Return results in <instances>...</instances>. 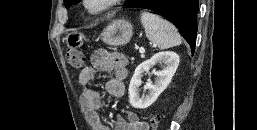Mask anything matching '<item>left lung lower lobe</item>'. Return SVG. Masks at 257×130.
<instances>
[{"label": "left lung lower lobe", "mask_w": 257, "mask_h": 130, "mask_svg": "<svg viewBox=\"0 0 257 130\" xmlns=\"http://www.w3.org/2000/svg\"><path fill=\"white\" fill-rule=\"evenodd\" d=\"M132 7L153 10L172 22L191 48H195L198 0H139Z\"/></svg>", "instance_id": "0a47b994"}]
</instances>
